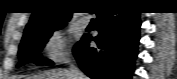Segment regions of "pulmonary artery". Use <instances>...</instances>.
Segmentation results:
<instances>
[{"mask_svg": "<svg viewBox=\"0 0 177 79\" xmlns=\"http://www.w3.org/2000/svg\"><path fill=\"white\" fill-rule=\"evenodd\" d=\"M89 22H90V19H89L88 17H86V16L82 17V18L79 20V23H80V25H81L83 28L87 27L88 24H89Z\"/></svg>", "mask_w": 177, "mask_h": 79, "instance_id": "1", "label": "pulmonary artery"}]
</instances>
